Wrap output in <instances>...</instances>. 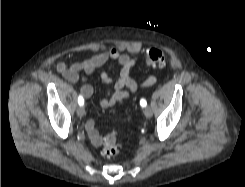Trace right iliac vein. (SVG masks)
Listing matches in <instances>:
<instances>
[{"mask_svg": "<svg viewBox=\"0 0 245 187\" xmlns=\"http://www.w3.org/2000/svg\"><path fill=\"white\" fill-rule=\"evenodd\" d=\"M77 115L79 116V117H83L84 115H85V108L84 107H79L78 109H77Z\"/></svg>", "mask_w": 245, "mask_h": 187, "instance_id": "63e3f726", "label": "right iliac vein"}]
</instances>
